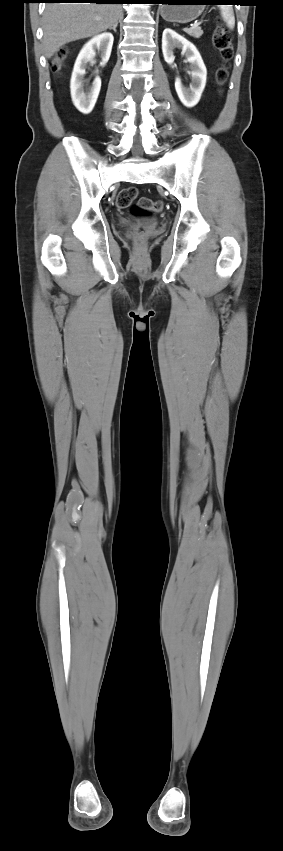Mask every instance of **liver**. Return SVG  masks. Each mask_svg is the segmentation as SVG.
Segmentation results:
<instances>
[{
	"mask_svg": "<svg viewBox=\"0 0 283 851\" xmlns=\"http://www.w3.org/2000/svg\"><path fill=\"white\" fill-rule=\"evenodd\" d=\"M122 14L119 4L49 3L43 14V48L51 58L63 45L112 28Z\"/></svg>",
	"mask_w": 283,
	"mask_h": 851,
	"instance_id": "liver-1",
	"label": "liver"
}]
</instances>
